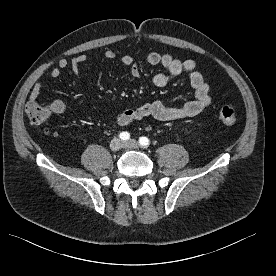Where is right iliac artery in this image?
Returning a JSON list of instances; mask_svg holds the SVG:
<instances>
[{
    "label": "right iliac artery",
    "instance_id": "right-iliac-artery-1",
    "mask_svg": "<svg viewBox=\"0 0 276 276\" xmlns=\"http://www.w3.org/2000/svg\"><path fill=\"white\" fill-rule=\"evenodd\" d=\"M119 137L121 140L126 141L130 138V134L127 131H124L119 134Z\"/></svg>",
    "mask_w": 276,
    "mask_h": 276
}]
</instances>
